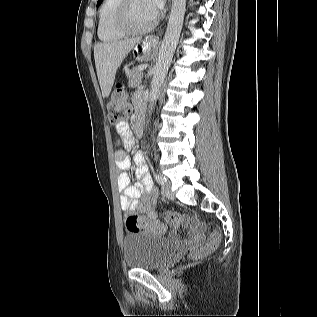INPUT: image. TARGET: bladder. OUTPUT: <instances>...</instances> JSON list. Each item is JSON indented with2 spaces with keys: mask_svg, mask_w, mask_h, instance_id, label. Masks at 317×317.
I'll list each match as a JSON object with an SVG mask.
<instances>
[{
  "mask_svg": "<svg viewBox=\"0 0 317 317\" xmlns=\"http://www.w3.org/2000/svg\"><path fill=\"white\" fill-rule=\"evenodd\" d=\"M166 237L148 232H130L123 239V256L128 267L152 270L164 266L175 254Z\"/></svg>",
  "mask_w": 317,
  "mask_h": 317,
  "instance_id": "1",
  "label": "bladder"
}]
</instances>
